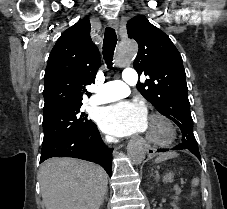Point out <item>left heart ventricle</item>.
I'll return each instance as SVG.
<instances>
[{"label": "left heart ventricle", "instance_id": "b2bd125f", "mask_svg": "<svg viewBox=\"0 0 227 209\" xmlns=\"http://www.w3.org/2000/svg\"><path fill=\"white\" fill-rule=\"evenodd\" d=\"M145 137L154 139H164L168 135L167 127L161 122H148L146 129L144 130Z\"/></svg>", "mask_w": 227, "mask_h": 209}]
</instances>
